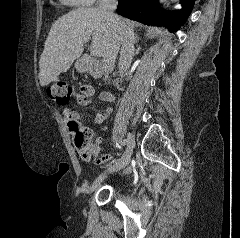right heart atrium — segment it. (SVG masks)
<instances>
[{"mask_svg": "<svg viewBox=\"0 0 240 238\" xmlns=\"http://www.w3.org/2000/svg\"><path fill=\"white\" fill-rule=\"evenodd\" d=\"M98 1H103V0H86V2L89 4V5H92Z\"/></svg>", "mask_w": 240, "mask_h": 238, "instance_id": "obj_1", "label": "right heart atrium"}]
</instances>
